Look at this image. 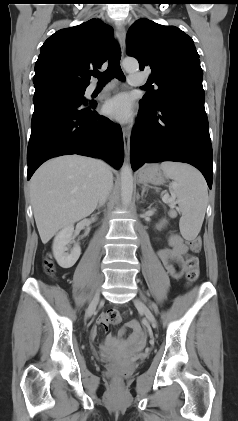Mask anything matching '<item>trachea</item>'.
<instances>
[{"mask_svg":"<svg viewBox=\"0 0 238 421\" xmlns=\"http://www.w3.org/2000/svg\"><path fill=\"white\" fill-rule=\"evenodd\" d=\"M120 59L121 51L119 45L116 43L112 48L107 70L103 73H93V75L98 77L100 84H105L114 77L118 78L119 80L125 79L120 67Z\"/></svg>","mask_w":238,"mask_h":421,"instance_id":"1","label":"trachea"}]
</instances>
